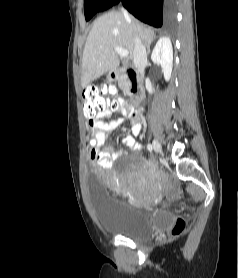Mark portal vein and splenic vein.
<instances>
[{"label":"portal vein and splenic vein","instance_id":"portal-vein-and-splenic-vein-1","mask_svg":"<svg viewBox=\"0 0 238 278\" xmlns=\"http://www.w3.org/2000/svg\"><path fill=\"white\" fill-rule=\"evenodd\" d=\"M114 50H115V51L120 55V57H122V58H126V57H128V55H129V52H128L126 49L122 48V47L116 46V47H114Z\"/></svg>","mask_w":238,"mask_h":278}]
</instances>
